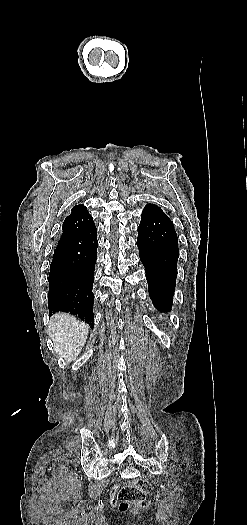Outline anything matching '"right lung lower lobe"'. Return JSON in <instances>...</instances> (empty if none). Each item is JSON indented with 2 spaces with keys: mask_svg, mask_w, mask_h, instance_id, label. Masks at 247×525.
Wrapping results in <instances>:
<instances>
[{
  "mask_svg": "<svg viewBox=\"0 0 247 525\" xmlns=\"http://www.w3.org/2000/svg\"><path fill=\"white\" fill-rule=\"evenodd\" d=\"M96 234L93 224L58 243L48 277L49 316L70 312L94 327L92 287L98 247Z\"/></svg>",
  "mask_w": 247,
  "mask_h": 525,
  "instance_id": "98d812e1",
  "label": "right lung lower lobe"
}]
</instances>
